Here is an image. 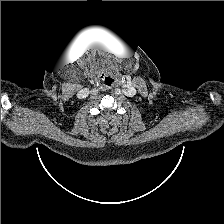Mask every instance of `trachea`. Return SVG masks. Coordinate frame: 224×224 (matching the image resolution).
Segmentation results:
<instances>
[{
  "label": "trachea",
  "instance_id": "1",
  "mask_svg": "<svg viewBox=\"0 0 224 224\" xmlns=\"http://www.w3.org/2000/svg\"><path fill=\"white\" fill-rule=\"evenodd\" d=\"M107 81H110V83H111V82H113L114 80H112L111 78L107 77V78H105V82L107 83Z\"/></svg>",
  "mask_w": 224,
  "mask_h": 224
}]
</instances>
